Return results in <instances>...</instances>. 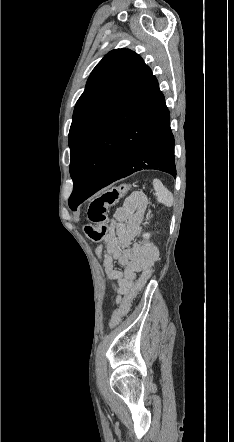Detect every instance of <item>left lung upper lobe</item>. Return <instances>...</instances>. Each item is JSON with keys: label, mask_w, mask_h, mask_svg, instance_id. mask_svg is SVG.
<instances>
[{"label": "left lung upper lobe", "mask_w": 234, "mask_h": 442, "mask_svg": "<svg viewBox=\"0 0 234 442\" xmlns=\"http://www.w3.org/2000/svg\"><path fill=\"white\" fill-rule=\"evenodd\" d=\"M145 67L135 52L115 49L106 54L90 74L75 105L69 132L70 174L74 186L90 141Z\"/></svg>", "instance_id": "obj_1"}]
</instances>
